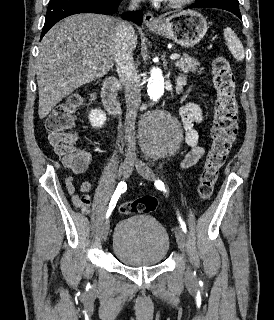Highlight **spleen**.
Here are the masks:
<instances>
[{
	"label": "spleen",
	"instance_id": "3e777b00",
	"mask_svg": "<svg viewBox=\"0 0 274 320\" xmlns=\"http://www.w3.org/2000/svg\"><path fill=\"white\" fill-rule=\"evenodd\" d=\"M224 38L227 42L226 46L229 48L233 58H235L237 62H242L245 58V52L242 42H240L238 36H236L235 32H233L231 28H225Z\"/></svg>",
	"mask_w": 274,
	"mask_h": 320
}]
</instances>
